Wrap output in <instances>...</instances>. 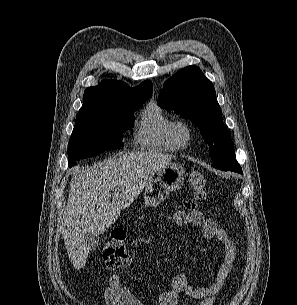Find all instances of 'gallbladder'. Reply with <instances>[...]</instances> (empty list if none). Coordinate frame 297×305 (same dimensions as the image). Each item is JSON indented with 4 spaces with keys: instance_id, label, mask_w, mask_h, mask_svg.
I'll use <instances>...</instances> for the list:
<instances>
[{
    "instance_id": "1",
    "label": "gallbladder",
    "mask_w": 297,
    "mask_h": 305,
    "mask_svg": "<svg viewBox=\"0 0 297 305\" xmlns=\"http://www.w3.org/2000/svg\"><path fill=\"white\" fill-rule=\"evenodd\" d=\"M84 243L89 250H95L99 243V235L86 232L83 235Z\"/></svg>"
}]
</instances>
